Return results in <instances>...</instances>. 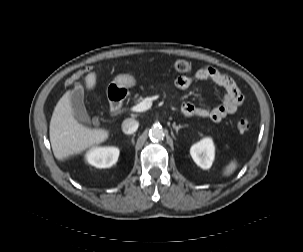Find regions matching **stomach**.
Wrapping results in <instances>:
<instances>
[{
    "label": "stomach",
    "mask_w": 303,
    "mask_h": 252,
    "mask_svg": "<svg viewBox=\"0 0 303 252\" xmlns=\"http://www.w3.org/2000/svg\"><path fill=\"white\" fill-rule=\"evenodd\" d=\"M136 84V80L132 75L121 74L118 75L112 85L116 86L118 89H128Z\"/></svg>",
    "instance_id": "0dacf381"
}]
</instances>
